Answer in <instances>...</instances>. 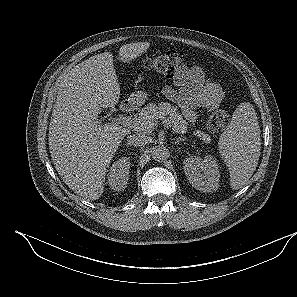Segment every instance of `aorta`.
Returning a JSON list of instances; mask_svg holds the SVG:
<instances>
[{
	"label": "aorta",
	"mask_w": 297,
	"mask_h": 297,
	"mask_svg": "<svg viewBox=\"0 0 297 297\" xmlns=\"http://www.w3.org/2000/svg\"><path fill=\"white\" fill-rule=\"evenodd\" d=\"M169 156V150L165 146H156L152 149V158L155 161H164Z\"/></svg>",
	"instance_id": "762f6f07"
}]
</instances>
